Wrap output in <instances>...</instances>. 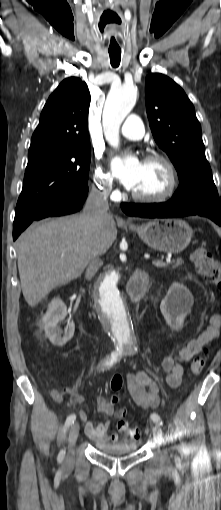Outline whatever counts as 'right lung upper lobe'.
Returning a JSON list of instances; mask_svg holds the SVG:
<instances>
[{"instance_id": "right-lung-upper-lobe-1", "label": "right lung upper lobe", "mask_w": 221, "mask_h": 510, "mask_svg": "<svg viewBox=\"0 0 221 510\" xmlns=\"http://www.w3.org/2000/svg\"><path fill=\"white\" fill-rule=\"evenodd\" d=\"M89 105L90 93L85 82L77 77L62 81L43 108L28 156L90 144Z\"/></svg>"}]
</instances>
